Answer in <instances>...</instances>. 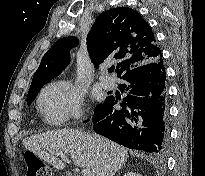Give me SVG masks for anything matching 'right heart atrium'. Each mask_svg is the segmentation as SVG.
<instances>
[{
    "label": "right heart atrium",
    "mask_w": 205,
    "mask_h": 176,
    "mask_svg": "<svg viewBox=\"0 0 205 176\" xmlns=\"http://www.w3.org/2000/svg\"><path fill=\"white\" fill-rule=\"evenodd\" d=\"M83 95L66 81L46 85L37 98V108L43 119L51 125H60L78 118L82 113Z\"/></svg>",
    "instance_id": "obj_1"
}]
</instances>
